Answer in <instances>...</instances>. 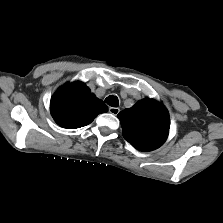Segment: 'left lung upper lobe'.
I'll return each instance as SVG.
<instances>
[{
  "label": "left lung upper lobe",
  "mask_w": 223,
  "mask_h": 223,
  "mask_svg": "<svg viewBox=\"0 0 223 223\" xmlns=\"http://www.w3.org/2000/svg\"><path fill=\"white\" fill-rule=\"evenodd\" d=\"M124 138L141 151L160 147L169 132L167 109L154 99L145 98L118 114Z\"/></svg>",
  "instance_id": "5c2ea615"
}]
</instances>
